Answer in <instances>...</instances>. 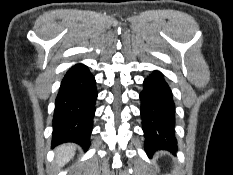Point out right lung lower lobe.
<instances>
[{
	"label": "right lung lower lobe",
	"mask_w": 233,
	"mask_h": 175,
	"mask_svg": "<svg viewBox=\"0 0 233 175\" xmlns=\"http://www.w3.org/2000/svg\"><path fill=\"white\" fill-rule=\"evenodd\" d=\"M97 95L96 82L88 67L76 64L67 71L55 100L53 147L74 142L88 149Z\"/></svg>",
	"instance_id": "right-lung-lower-lobe-1"
}]
</instances>
